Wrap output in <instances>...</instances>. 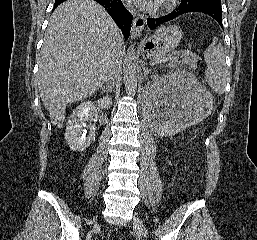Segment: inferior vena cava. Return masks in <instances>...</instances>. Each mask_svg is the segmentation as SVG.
Segmentation results:
<instances>
[{
  "mask_svg": "<svg viewBox=\"0 0 257 240\" xmlns=\"http://www.w3.org/2000/svg\"><path fill=\"white\" fill-rule=\"evenodd\" d=\"M130 11L132 13V15L134 16L135 14V9L134 8H130ZM123 43V37L120 34L119 35V40H118V44L114 50V55L112 58V62L108 71L107 76L105 77V85L106 86H111L115 84V79L117 77V72H118V68H119V64H120V52H119V45Z\"/></svg>",
  "mask_w": 257,
  "mask_h": 240,
  "instance_id": "obj_1",
  "label": "inferior vena cava"
}]
</instances>
